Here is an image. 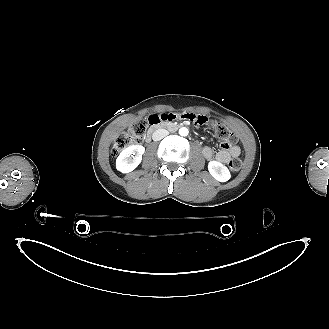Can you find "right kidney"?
I'll list each match as a JSON object with an SVG mask.
<instances>
[{"label":"right kidney","mask_w":329,"mask_h":329,"mask_svg":"<svg viewBox=\"0 0 329 329\" xmlns=\"http://www.w3.org/2000/svg\"><path fill=\"white\" fill-rule=\"evenodd\" d=\"M145 148L142 145H131L122 150L116 159V168L122 173L133 171L142 160Z\"/></svg>","instance_id":"right-kidney-1"}]
</instances>
